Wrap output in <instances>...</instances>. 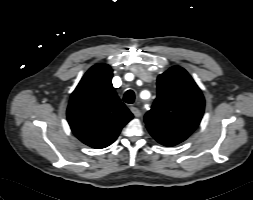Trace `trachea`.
I'll list each match as a JSON object with an SVG mask.
<instances>
[{
  "mask_svg": "<svg viewBox=\"0 0 253 200\" xmlns=\"http://www.w3.org/2000/svg\"><path fill=\"white\" fill-rule=\"evenodd\" d=\"M123 101L128 103V104H133L135 101V94L132 90H128L125 92Z\"/></svg>",
  "mask_w": 253,
  "mask_h": 200,
  "instance_id": "3493384b",
  "label": "trachea"
}]
</instances>
